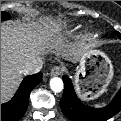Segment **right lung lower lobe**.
<instances>
[{"label": "right lung lower lobe", "mask_w": 121, "mask_h": 121, "mask_svg": "<svg viewBox=\"0 0 121 121\" xmlns=\"http://www.w3.org/2000/svg\"><path fill=\"white\" fill-rule=\"evenodd\" d=\"M42 76V73H38L24 78L14 97L1 104V121H18L23 117L28 107L29 94L42 81Z\"/></svg>", "instance_id": "1"}]
</instances>
